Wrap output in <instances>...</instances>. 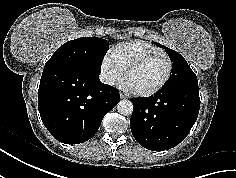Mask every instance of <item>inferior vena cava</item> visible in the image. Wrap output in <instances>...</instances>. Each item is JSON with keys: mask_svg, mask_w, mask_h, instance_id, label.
<instances>
[{"mask_svg": "<svg viewBox=\"0 0 236 178\" xmlns=\"http://www.w3.org/2000/svg\"><path fill=\"white\" fill-rule=\"evenodd\" d=\"M100 81L108 85H114L115 83L114 77L110 75L109 73H101Z\"/></svg>", "mask_w": 236, "mask_h": 178, "instance_id": "obj_1", "label": "inferior vena cava"}]
</instances>
